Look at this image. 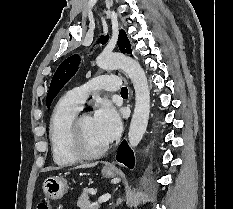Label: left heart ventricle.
I'll list each match as a JSON object with an SVG mask.
<instances>
[{"mask_svg":"<svg viewBox=\"0 0 233 209\" xmlns=\"http://www.w3.org/2000/svg\"><path fill=\"white\" fill-rule=\"evenodd\" d=\"M81 137L84 146L91 151L99 150L106 144L98 135L91 116L84 117L81 122Z\"/></svg>","mask_w":233,"mask_h":209,"instance_id":"obj_1","label":"left heart ventricle"}]
</instances>
